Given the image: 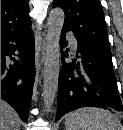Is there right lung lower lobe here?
<instances>
[{
    "instance_id": "98d812e1",
    "label": "right lung lower lobe",
    "mask_w": 123,
    "mask_h": 130,
    "mask_svg": "<svg viewBox=\"0 0 123 130\" xmlns=\"http://www.w3.org/2000/svg\"><path fill=\"white\" fill-rule=\"evenodd\" d=\"M14 55L15 57H12ZM13 61L9 64L7 57ZM35 43L33 32L1 36V99L8 102L27 122L35 79Z\"/></svg>"
}]
</instances>
